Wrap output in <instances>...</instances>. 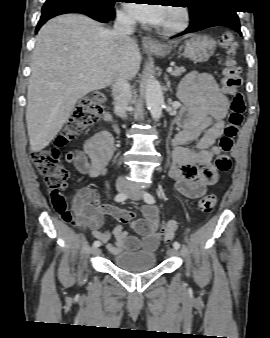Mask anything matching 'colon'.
<instances>
[{
    "mask_svg": "<svg viewBox=\"0 0 270 338\" xmlns=\"http://www.w3.org/2000/svg\"><path fill=\"white\" fill-rule=\"evenodd\" d=\"M217 45L225 56L221 84L226 92L233 93V98L229 106L227 125L219 142L222 153L216 157L214 165L218 171L228 172L232 163L229 153L243 121L244 102L241 93L238 92V88L242 84L241 69L234 59L237 42L231 33H225L218 38ZM103 100V96L100 95L81 100L56 136L53 147L31 153L34 166L44 176L46 186L51 191L54 211L66 221L71 220V215L66 207L61 204V200L64 198L63 191L72 182L73 177L60 164L61 153L59 149L81 137L87 128L97 122L99 114L102 112ZM215 204L216 196L207 194L200 199L199 208L203 213H210ZM176 229L177 223L175 221L169 222L162 228L165 242H172Z\"/></svg>",
    "mask_w": 270,
    "mask_h": 338,
    "instance_id": "colon-1",
    "label": "colon"
}]
</instances>
